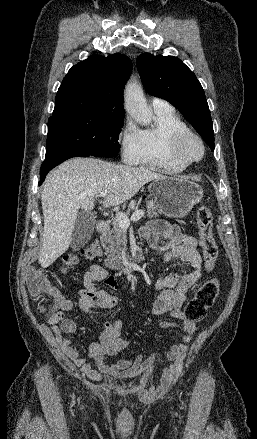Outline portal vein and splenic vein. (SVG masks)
<instances>
[{
	"mask_svg": "<svg viewBox=\"0 0 257 439\" xmlns=\"http://www.w3.org/2000/svg\"><path fill=\"white\" fill-rule=\"evenodd\" d=\"M108 195L107 190H103L99 193L100 197H106ZM144 215V210H137L133 213L131 218L129 219L127 215L123 212H118L116 214V220L122 228H128L130 226V221H137Z\"/></svg>",
	"mask_w": 257,
	"mask_h": 439,
	"instance_id": "1",
	"label": "portal vein and splenic vein"
}]
</instances>
